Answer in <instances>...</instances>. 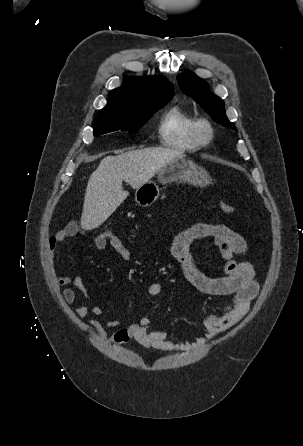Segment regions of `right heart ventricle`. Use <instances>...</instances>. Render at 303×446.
Returning <instances> with one entry per match:
<instances>
[{"label": "right heart ventricle", "mask_w": 303, "mask_h": 446, "mask_svg": "<svg viewBox=\"0 0 303 446\" xmlns=\"http://www.w3.org/2000/svg\"><path fill=\"white\" fill-rule=\"evenodd\" d=\"M196 118L182 107L174 105L167 109L158 125L161 145L182 151H196L201 145L194 134Z\"/></svg>", "instance_id": "1"}]
</instances>
